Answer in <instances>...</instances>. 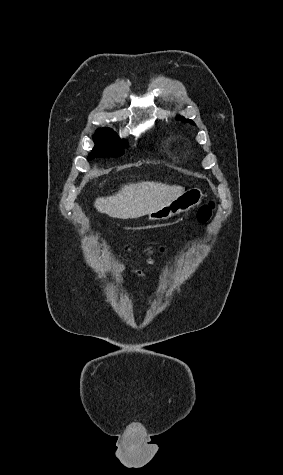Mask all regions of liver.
Masks as SVG:
<instances>
[{"instance_id": "1", "label": "liver", "mask_w": 283, "mask_h": 475, "mask_svg": "<svg viewBox=\"0 0 283 475\" xmlns=\"http://www.w3.org/2000/svg\"><path fill=\"white\" fill-rule=\"evenodd\" d=\"M185 194L182 186H167L159 182H138L123 186L114 196L96 198L94 208L100 214H108L110 218H141L150 212L163 208L168 202Z\"/></svg>"}]
</instances>
